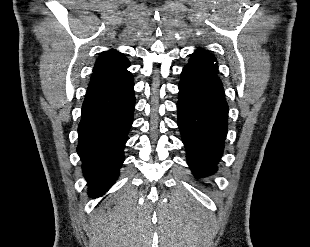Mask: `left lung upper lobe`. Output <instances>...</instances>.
<instances>
[{"label": "left lung upper lobe", "instance_id": "obj_1", "mask_svg": "<svg viewBox=\"0 0 310 247\" xmlns=\"http://www.w3.org/2000/svg\"><path fill=\"white\" fill-rule=\"evenodd\" d=\"M185 67L202 69L212 73H218L216 58L204 49L196 50L190 58V63Z\"/></svg>", "mask_w": 310, "mask_h": 247}]
</instances>
